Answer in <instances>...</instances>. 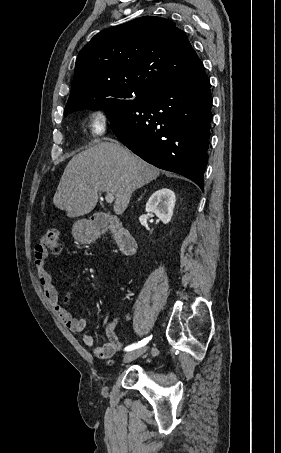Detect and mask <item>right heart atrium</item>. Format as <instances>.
Instances as JSON below:
<instances>
[{
  "mask_svg": "<svg viewBox=\"0 0 281 453\" xmlns=\"http://www.w3.org/2000/svg\"><path fill=\"white\" fill-rule=\"evenodd\" d=\"M110 124V115L104 108H94L89 111L86 128L93 138L102 136ZM90 157L96 158V152H91Z\"/></svg>",
  "mask_w": 281,
  "mask_h": 453,
  "instance_id": "right-heart-atrium-1",
  "label": "right heart atrium"
}]
</instances>
